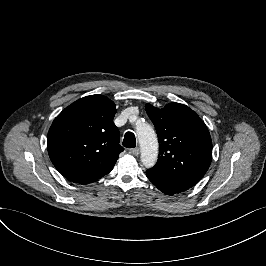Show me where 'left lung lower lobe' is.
Segmentation results:
<instances>
[{
    "instance_id": "0a47b994",
    "label": "left lung lower lobe",
    "mask_w": 266,
    "mask_h": 266,
    "mask_svg": "<svg viewBox=\"0 0 266 266\" xmlns=\"http://www.w3.org/2000/svg\"><path fill=\"white\" fill-rule=\"evenodd\" d=\"M146 175L148 179L163 193L167 195H173L176 193H180L183 191H186L190 187L182 184L175 182L173 180H170L168 178H165L159 174H156L150 170H147Z\"/></svg>"
}]
</instances>
